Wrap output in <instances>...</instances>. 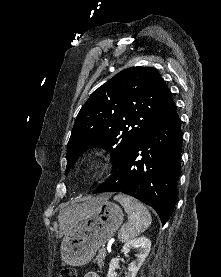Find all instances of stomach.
Returning <instances> with one entry per match:
<instances>
[{"mask_svg":"<svg viewBox=\"0 0 221 277\" xmlns=\"http://www.w3.org/2000/svg\"><path fill=\"white\" fill-rule=\"evenodd\" d=\"M91 198L79 214L73 217L63 235L60 253L62 261L70 266L89 263L97 250L105 244L123 222L122 209L108 200L94 204Z\"/></svg>","mask_w":221,"mask_h":277,"instance_id":"obj_1","label":"stomach"}]
</instances>
